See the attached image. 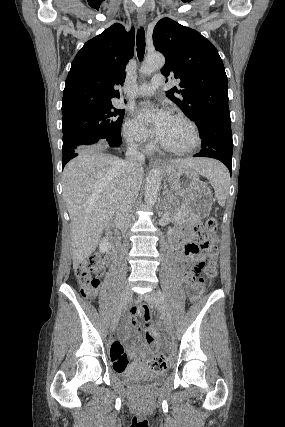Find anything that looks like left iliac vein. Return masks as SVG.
I'll use <instances>...</instances> for the list:
<instances>
[{
	"instance_id": "1",
	"label": "left iliac vein",
	"mask_w": 285,
	"mask_h": 427,
	"mask_svg": "<svg viewBox=\"0 0 285 427\" xmlns=\"http://www.w3.org/2000/svg\"><path fill=\"white\" fill-rule=\"evenodd\" d=\"M143 299L151 306H155L158 310L161 311L165 324L167 326L168 333L172 335L174 333V326L171 314L168 309L163 305L160 297L155 291H150L143 295Z\"/></svg>"
}]
</instances>
